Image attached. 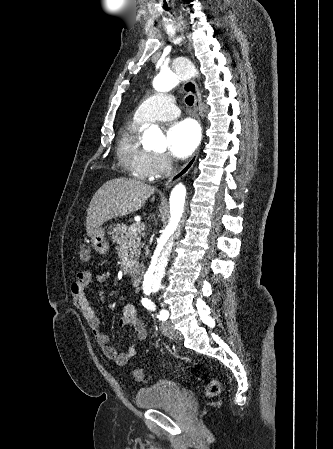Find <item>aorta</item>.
Segmentation results:
<instances>
[{
  "instance_id": "1",
  "label": "aorta",
  "mask_w": 333,
  "mask_h": 449,
  "mask_svg": "<svg viewBox=\"0 0 333 449\" xmlns=\"http://www.w3.org/2000/svg\"><path fill=\"white\" fill-rule=\"evenodd\" d=\"M174 70L161 71L154 79L153 86L159 92H166L182 80L196 74V68L188 59L174 60ZM143 140L150 149L163 152L166 150V140L157 126H151L144 131ZM188 202V187L185 183L176 184L170 194V220L161 227L153 249L151 263L145 273L143 294L156 292L161 287V280L165 274L169 256L175 239L180 234V226L186 215Z\"/></svg>"
}]
</instances>
